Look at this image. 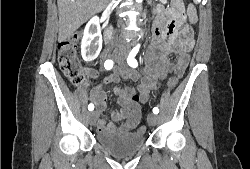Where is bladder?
<instances>
[{
	"mask_svg": "<svg viewBox=\"0 0 250 169\" xmlns=\"http://www.w3.org/2000/svg\"><path fill=\"white\" fill-rule=\"evenodd\" d=\"M95 139L99 147L118 158L137 154L147 143L145 134L125 132L98 133Z\"/></svg>",
	"mask_w": 250,
	"mask_h": 169,
	"instance_id": "bladder-1",
	"label": "bladder"
}]
</instances>
